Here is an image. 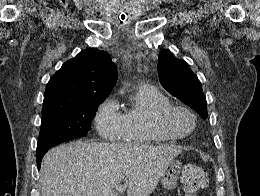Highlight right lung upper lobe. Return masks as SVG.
<instances>
[{
  "label": "right lung upper lobe",
  "instance_id": "cb5924a9",
  "mask_svg": "<svg viewBox=\"0 0 260 196\" xmlns=\"http://www.w3.org/2000/svg\"><path fill=\"white\" fill-rule=\"evenodd\" d=\"M117 80V68L109 54L87 49L65 62L49 80L43 106L106 98Z\"/></svg>",
  "mask_w": 260,
  "mask_h": 196
}]
</instances>
